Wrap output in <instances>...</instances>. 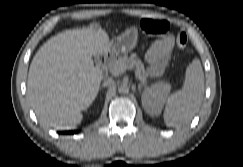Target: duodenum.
<instances>
[{"instance_id": "410a0bca", "label": "duodenum", "mask_w": 243, "mask_h": 167, "mask_svg": "<svg viewBox=\"0 0 243 167\" xmlns=\"http://www.w3.org/2000/svg\"><path fill=\"white\" fill-rule=\"evenodd\" d=\"M113 59V53L112 52H108L106 55H105V65L103 67V71L105 72V68L106 66L112 61Z\"/></svg>"}]
</instances>
